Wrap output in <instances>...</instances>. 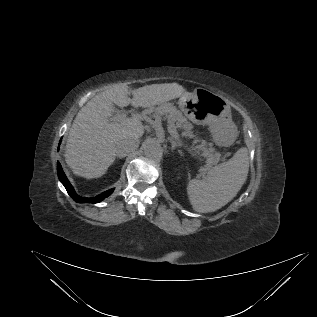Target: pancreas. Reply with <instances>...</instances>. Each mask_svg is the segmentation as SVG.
Segmentation results:
<instances>
[{
  "label": "pancreas",
  "mask_w": 317,
  "mask_h": 317,
  "mask_svg": "<svg viewBox=\"0 0 317 317\" xmlns=\"http://www.w3.org/2000/svg\"><path fill=\"white\" fill-rule=\"evenodd\" d=\"M149 113H152L154 118H157L162 115H166L168 118L169 125H172L175 129H183L182 135L184 137L193 138L194 144L200 143L196 147H193L196 153L201 152V155L206 159V168H202L201 171H204L210 168L212 165L217 164L220 159V154L215 152V149L211 144H207L205 140H199L198 137L193 133V125L183 116L182 112L177 110L171 103H164L158 106L155 109H149Z\"/></svg>",
  "instance_id": "obj_1"
}]
</instances>
